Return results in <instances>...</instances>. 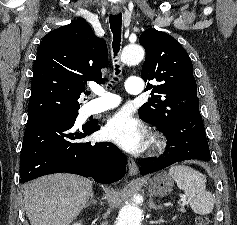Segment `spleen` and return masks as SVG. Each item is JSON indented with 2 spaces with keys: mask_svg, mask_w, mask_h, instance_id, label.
Listing matches in <instances>:
<instances>
[{
  "mask_svg": "<svg viewBox=\"0 0 237 225\" xmlns=\"http://www.w3.org/2000/svg\"><path fill=\"white\" fill-rule=\"evenodd\" d=\"M169 175L189 198L191 209L196 214L207 215L213 211L214 197L206 190V178L202 173L181 164L172 166Z\"/></svg>",
  "mask_w": 237,
  "mask_h": 225,
  "instance_id": "obj_1",
  "label": "spleen"
}]
</instances>
